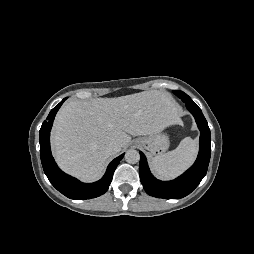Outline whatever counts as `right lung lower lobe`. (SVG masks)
<instances>
[{
    "label": "right lung lower lobe",
    "instance_id": "1",
    "mask_svg": "<svg viewBox=\"0 0 254 254\" xmlns=\"http://www.w3.org/2000/svg\"><path fill=\"white\" fill-rule=\"evenodd\" d=\"M64 101L65 99L51 110L40 129V157L44 172L51 184L68 198L83 200L98 197L108 190L113 173L124 154L115 158L108 165L105 175L94 183H82L76 178L62 172L56 165L51 154L50 130L54 117Z\"/></svg>",
    "mask_w": 254,
    "mask_h": 254
}]
</instances>
